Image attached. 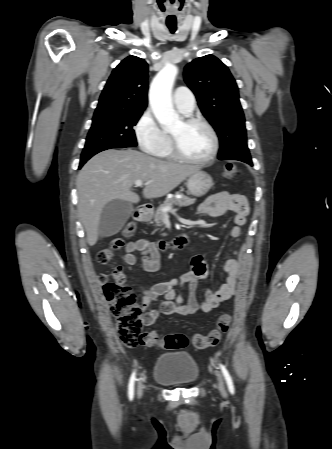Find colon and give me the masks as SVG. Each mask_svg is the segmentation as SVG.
I'll use <instances>...</instances> for the list:
<instances>
[{"mask_svg": "<svg viewBox=\"0 0 332 449\" xmlns=\"http://www.w3.org/2000/svg\"><path fill=\"white\" fill-rule=\"evenodd\" d=\"M224 172L228 178H234L239 175V169L233 163H228ZM135 232L136 226L130 222L123 228L122 236L131 238ZM123 245V238H115L108 246L97 253V262L101 265L109 263L114 253ZM115 279L116 281L104 282L103 290L107 300L110 302L111 312L117 320L119 338L126 346L142 345L146 347L180 349L191 342L195 348L204 349L217 345L222 335L229 329L232 318L230 314L225 313L218 318L216 327L207 335L195 334L189 338L183 333H173L160 337L153 331L142 332V309L137 304L136 294L124 280ZM101 281H105L104 276H101Z\"/></svg>", "mask_w": 332, "mask_h": 449, "instance_id": "1", "label": "colon"}]
</instances>
